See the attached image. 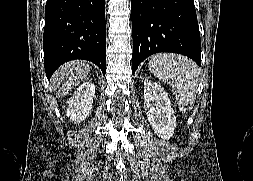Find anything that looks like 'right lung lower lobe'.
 <instances>
[{
  "mask_svg": "<svg viewBox=\"0 0 253 181\" xmlns=\"http://www.w3.org/2000/svg\"><path fill=\"white\" fill-rule=\"evenodd\" d=\"M43 34L48 78L63 63L84 59L106 72L105 0H47Z\"/></svg>",
  "mask_w": 253,
  "mask_h": 181,
  "instance_id": "98d812e1",
  "label": "right lung lower lobe"
}]
</instances>
